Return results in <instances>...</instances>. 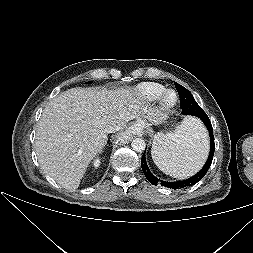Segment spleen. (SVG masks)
I'll list each match as a JSON object with an SVG mask.
<instances>
[{
    "instance_id": "1",
    "label": "spleen",
    "mask_w": 253,
    "mask_h": 253,
    "mask_svg": "<svg viewBox=\"0 0 253 253\" xmlns=\"http://www.w3.org/2000/svg\"><path fill=\"white\" fill-rule=\"evenodd\" d=\"M209 149L206 129L196 118H186L174 132L155 135L151 155L167 175L186 178L203 166Z\"/></svg>"
}]
</instances>
